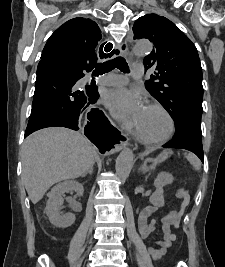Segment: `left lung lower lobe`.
Wrapping results in <instances>:
<instances>
[{
  "mask_svg": "<svg viewBox=\"0 0 225 267\" xmlns=\"http://www.w3.org/2000/svg\"><path fill=\"white\" fill-rule=\"evenodd\" d=\"M165 148L186 149L196 154L204 163L201 132V114L191 112L176 130L173 139L165 144Z\"/></svg>",
  "mask_w": 225,
  "mask_h": 267,
  "instance_id": "0a47b994",
  "label": "left lung lower lobe"
}]
</instances>
